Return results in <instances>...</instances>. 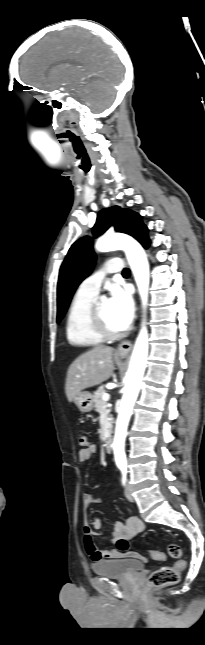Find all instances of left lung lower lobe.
I'll return each instance as SVG.
<instances>
[{
    "label": "left lung lower lobe",
    "mask_w": 205,
    "mask_h": 645,
    "mask_svg": "<svg viewBox=\"0 0 205 645\" xmlns=\"http://www.w3.org/2000/svg\"><path fill=\"white\" fill-rule=\"evenodd\" d=\"M140 243H141V244L143 245V247H145V248H147V247L149 246V244H150V240H149V238H148L147 233H146V235L142 238V240L140 241Z\"/></svg>",
    "instance_id": "1"
}]
</instances>
